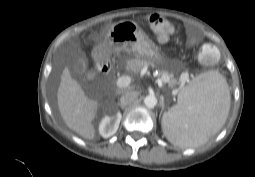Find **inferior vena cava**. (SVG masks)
Segmentation results:
<instances>
[{
	"label": "inferior vena cava",
	"instance_id": "inferior-vena-cava-1",
	"mask_svg": "<svg viewBox=\"0 0 255 177\" xmlns=\"http://www.w3.org/2000/svg\"><path fill=\"white\" fill-rule=\"evenodd\" d=\"M138 97V92L135 91H130V92H126L125 94H123L120 98V106L121 107H126L128 105H130L131 103H133Z\"/></svg>",
	"mask_w": 255,
	"mask_h": 177
}]
</instances>
